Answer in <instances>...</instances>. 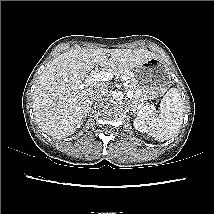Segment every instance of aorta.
<instances>
[{
	"mask_svg": "<svg viewBox=\"0 0 214 214\" xmlns=\"http://www.w3.org/2000/svg\"><path fill=\"white\" fill-rule=\"evenodd\" d=\"M112 98L116 101L123 99V93L121 91L115 90L112 92Z\"/></svg>",
	"mask_w": 214,
	"mask_h": 214,
	"instance_id": "1",
	"label": "aorta"
}]
</instances>
